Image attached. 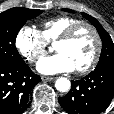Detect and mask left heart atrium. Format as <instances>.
I'll return each mask as SVG.
<instances>
[{"instance_id": "obj_1", "label": "left heart atrium", "mask_w": 114, "mask_h": 114, "mask_svg": "<svg viewBox=\"0 0 114 114\" xmlns=\"http://www.w3.org/2000/svg\"><path fill=\"white\" fill-rule=\"evenodd\" d=\"M37 70L42 74H57L75 70L73 62L63 53L42 58L37 64Z\"/></svg>"}]
</instances>
